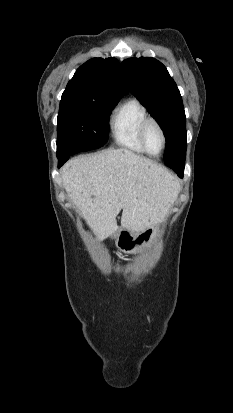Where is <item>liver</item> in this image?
Wrapping results in <instances>:
<instances>
[{
	"instance_id": "1",
	"label": "liver",
	"mask_w": 233,
	"mask_h": 413,
	"mask_svg": "<svg viewBox=\"0 0 233 413\" xmlns=\"http://www.w3.org/2000/svg\"><path fill=\"white\" fill-rule=\"evenodd\" d=\"M68 197L99 240L121 228L135 233L158 225L180 192L178 180L161 165L125 149L78 156L61 169Z\"/></svg>"
}]
</instances>
